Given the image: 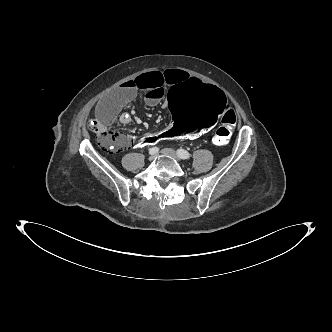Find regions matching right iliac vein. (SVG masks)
Segmentation results:
<instances>
[{"label":"right iliac vein","instance_id":"63e3f726","mask_svg":"<svg viewBox=\"0 0 332 332\" xmlns=\"http://www.w3.org/2000/svg\"><path fill=\"white\" fill-rule=\"evenodd\" d=\"M156 159V155L154 154V155H151L150 157H149V160L150 161H153V160H155Z\"/></svg>","mask_w":332,"mask_h":332}]
</instances>
